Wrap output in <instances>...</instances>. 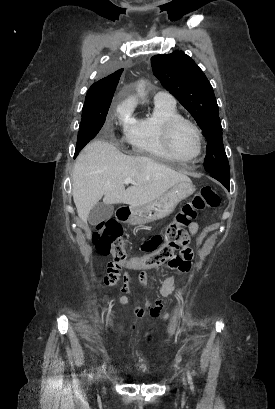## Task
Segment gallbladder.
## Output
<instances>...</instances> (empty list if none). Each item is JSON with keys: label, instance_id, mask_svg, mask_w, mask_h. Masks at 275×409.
Here are the masks:
<instances>
[{"label": "gallbladder", "instance_id": "bac80fb5", "mask_svg": "<svg viewBox=\"0 0 275 409\" xmlns=\"http://www.w3.org/2000/svg\"><path fill=\"white\" fill-rule=\"evenodd\" d=\"M114 213L113 205H105V202H97V205L91 209L88 215V221L90 225L96 227L102 221H106V219H110Z\"/></svg>", "mask_w": 275, "mask_h": 409}]
</instances>
